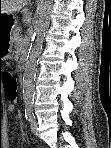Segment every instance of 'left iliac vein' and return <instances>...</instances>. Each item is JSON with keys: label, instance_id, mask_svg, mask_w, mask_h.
Returning a JSON list of instances; mask_svg holds the SVG:
<instances>
[{"label": "left iliac vein", "instance_id": "obj_1", "mask_svg": "<svg viewBox=\"0 0 111 148\" xmlns=\"http://www.w3.org/2000/svg\"><path fill=\"white\" fill-rule=\"evenodd\" d=\"M31 131L33 132V133H36L37 132V122H36V120H33V121H31Z\"/></svg>", "mask_w": 111, "mask_h": 148}]
</instances>
